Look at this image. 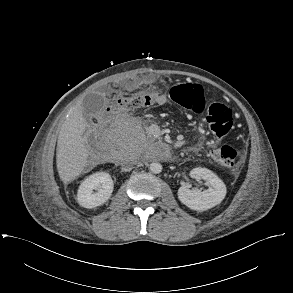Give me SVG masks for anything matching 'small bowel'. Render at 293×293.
Here are the masks:
<instances>
[{"instance_id": "c3829d8e", "label": "small bowel", "mask_w": 293, "mask_h": 293, "mask_svg": "<svg viewBox=\"0 0 293 293\" xmlns=\"http://www.w3.org/2000/svg\"><path fill=\"white\" fill-rule=\"evenodd\" d=\"M141 86L146 87L148 90L151 91L155 98V104L156 105H163L166 103V98L163 94H161L155 86L154 78L151 76H145L138 79H133L125 84V88L127 89H136ZM200 148V146H193L190 149L192 151H197Z\"/></svg>"}]
</instances>
